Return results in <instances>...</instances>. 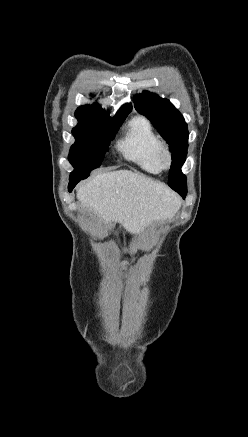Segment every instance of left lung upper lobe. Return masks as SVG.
Returning <instances> with one entry per match:
<instances>
[{
    "mask_svg": "<svg viewBox=\"0 0 248 437\" xmlns=\"http://www.w3.org/2000/svg\"><path fill=\"white\" fill-rule=\"evenodd\" d=\"M136 110L146 116L169 144L172 163L169 171L168 185L186 196V176L181 172L188 148L187 124L180 112L165 98L147 91L134 97Z\"/></svg>",
    "mask_w": 248,
    "mask_h": 437,
    "instance_id": "5c2ea615",
    "label": "left lung upper lobe"
}]
</instances>
